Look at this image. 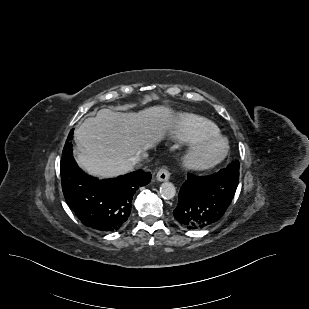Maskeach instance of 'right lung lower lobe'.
Here are the masks:
<instances>
[{
  "instance_id": "obj_1",
  "label": "right lung lower lobe",
  "mask_w": 309,
  "mask_h": 309,
  "mask_svg": "<svg viewBox=\"0 0 309 309\" xmlns=\"http://www.w3.org/2000/svg\"><path fill=\"white\" fill-rule=\"evenodd\" d=\"M73 129L66 140L60 172L66 202L87 227L101 232L120 229L131 212L132 197L151 180L149 172H136L98 180L78 168L71 148Z\"/></svg>"
}]
</instances>
